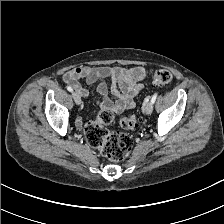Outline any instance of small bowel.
Listing matches in <instances>:
<instances>
[{"mask_svg":"<svg viewBox=\"0 0 224 224\" xmlns=\"http://www.w3.org/2000/svg\"><path fill=\"white\" fill-rule=\"evenodd\" d=\"M145 76L142 66L119 67L81 66L67 71L63 75V81L74 89L82 98H87L89 92L80 84L83 79L87 84H97V93L100 96V105L111 112L120 113L125 109L135 106L134 98L142 89L140 81ZM106 81H109V86ZM109 91L114 99L109 97ZM83 119H76V126L82 127Z\"/></svg>","mask_w":224,"mask_h":224,"instance_id":"small-bowel-1","label":"small bowel"}]
</instances>
